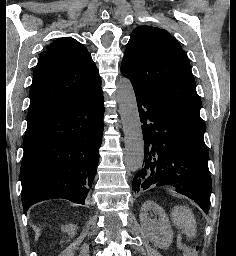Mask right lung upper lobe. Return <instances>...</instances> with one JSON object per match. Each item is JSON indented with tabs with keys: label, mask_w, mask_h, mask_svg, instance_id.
I'll return each instance as SVG.
<instances>
[{
	"label": "right lung upper lobe",
	"mask_w": 236,
	"mask_h": 256,
	"mask_svg": "<svg viewBox=\"0 0 236 256\" xmlns=\"http://www.w3.org/2000/svg\"><path fill=\"white\" fill-rule=\"evenodd\" d=\"M101 86L87 49L73 38L55 40L42 52L30 91L28 125Z\"/></svg>",
	"instance_id": "obj_1"
}]
</instances>
